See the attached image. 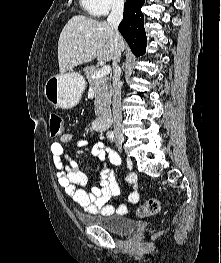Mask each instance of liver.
Masks as SVG:
<instances>
[{"mask_svg": "<svg viewBox=\"0 0 221 263\" xmlns=\"http://www.w3.org/2000/svg\"><path fill=\"white\" fill-rule=\"evenodd\" d=\"M114 53V29L108 22L75 15L66 23L59 37L60 73H65L95 58L98 61L108 62L113 59Z\"/></svg>", "mask_w": 221, "mask_h": 263, "instance_id": "1", "label": "liver"}]
</instances>
